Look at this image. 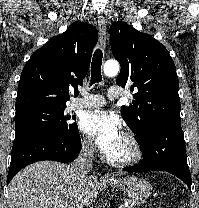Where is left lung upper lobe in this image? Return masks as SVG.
Instances as JSON below:
<instances>
[{"instance_id":"obj_1","label":"left lung upper lobe","mask_w":199,"mask_h":208,"mask_svg":"<svg viewBox=\"0 0 199 208\" xmlns=\"http://www.w3.org/2000/svg\"><path fill=\"white\" fill-rule=\"evenodd\" d=\"M113 56L121 65L116 83L135 90L130 106H122L124 121L142 143L160 123L181 121L179 80L168 50L156 39L125 22L110 27Z\"/></svg>"}]
</instances>
